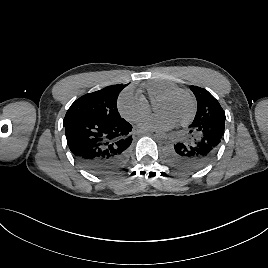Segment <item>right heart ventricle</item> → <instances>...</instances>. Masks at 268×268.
I'll return each instance as SVG.
<instances>
[{
	"instance_id": "obj_1",
	"label": "right heart ventricle",
	"mask_w": 268,
	"mask_h": 268,
	"mask_svg": "<svg viewBox=\"0 0 268 268\" xmlns=\"http://www.w3.org/2000/svg\"><path fill=\"white\" fill-rule=\"evenodd\" d=\"M177 88L178 85L175 82L165 78H158L140 86L137 93L148 104L153 105L164 94Z\"/></svg>"
}]
</instances>
